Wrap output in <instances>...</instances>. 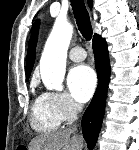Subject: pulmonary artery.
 <instances>
[{"label": "pulmonary artery", "instance_id": "e3ab8cb5", "mask_svg": "<svg viewBox=\"0 0 139 150\" xmlns=\"http://www.w3.org/2000/svg\"><path fill=\"white\" fill-rule=\"evenodd\" d=\"M69 58L74 62L83 61L86 58V51L81 46H75L69 51Z\"/></svg>", "mask_w": 139, "mask_h": 150}]
</instances>
